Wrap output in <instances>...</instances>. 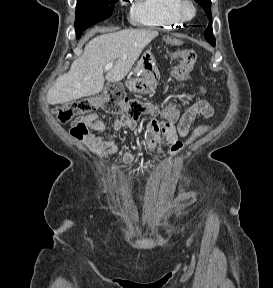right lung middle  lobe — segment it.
<instances>
[{"label": "right lung middle lobe", "mask_w": 273, "mask_h": 288, "mask_svg": "<svg viewBox=\"0 0 273 288\" xmlns=\"http://www.w3.org/2000/svg\"><path fill=\"white\" fill-rule=\"evenodd\" d=\"M117 0H77L75 29L77 38L82 32L111 16Z\"/></svg>", "instance_id": "dd1d6c3e"}]
</instances>
